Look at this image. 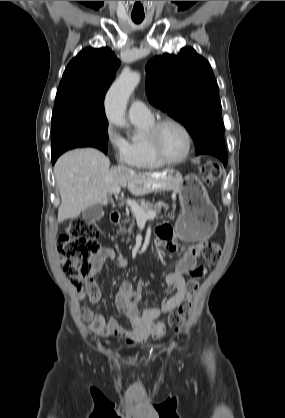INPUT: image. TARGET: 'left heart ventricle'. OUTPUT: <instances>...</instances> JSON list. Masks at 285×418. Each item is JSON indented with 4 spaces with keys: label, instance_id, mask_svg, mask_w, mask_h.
Masks as SVG:
<instances>
[{
    "label": "left heart ventricle",
    "instance_id": "b2bd125f",
    "mask_svg": "<svg viewBox=\"0 0 285 418\" xmlns=\"http://www.w3.org/2000/svg\"><path fill=\"white\" fill-rule=\"evenodd\" d=\"M159 145L166 157L178 159L185 153L187 140L180 128L169 124L159 134Z\"/></svg>",
    "mask_w": 285,
    "mask_h": 418
}]
</instances>
